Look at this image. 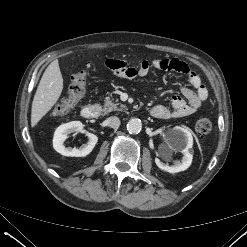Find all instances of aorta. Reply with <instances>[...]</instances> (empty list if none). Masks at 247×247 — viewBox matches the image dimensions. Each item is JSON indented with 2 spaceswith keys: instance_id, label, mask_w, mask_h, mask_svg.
I'll return each mask as SVG.
<instances>
[{
  "instance_id": "1",
  "label": "aorta",
  "mask_w": 247,
  "mask_h": 247,
  "mask_svg": "<svg viewBox=\"0 0 247 247\" xmlns=\"http://www.w3.org/2000/svg\"><path fill=\"white\" fill-rule=\"evenodd\" d=\"M142 129V122L138 118H132L127 123V131L130 134H138Z\"/></svg>"
}]
</instances>
